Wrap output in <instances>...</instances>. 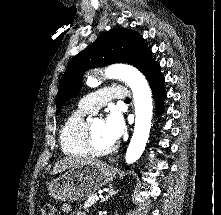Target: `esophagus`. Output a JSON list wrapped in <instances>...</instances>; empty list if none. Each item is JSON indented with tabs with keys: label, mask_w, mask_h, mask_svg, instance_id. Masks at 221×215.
<instances>
[{
	"label": "esophagus",
	"mask_w": 221,
	"mask_h": 215,
	"mask_svg": "<svg viewBox=\"0 0 221 215\" xmlns=\"http://www.w3.org/2000/svg\"><path fill=\"white\" fill-rule=\"evenodd\" d=\"M110 161L113 163V162H115V160L114 159H110Z\"/></svg>",
	"instance_id": "34e87169"
}]
</instances>
